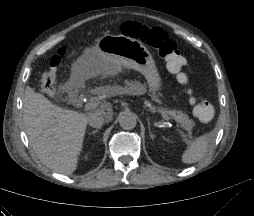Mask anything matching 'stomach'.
<instances>
[{"instance_id": "0dacf381", "label": "stomach", "mask_w": 254, "mask_h": 216, "mask_svg": "<svg viewBox=\"0 0 254 216\" xmlns=\"http://www.w3.org/2000/svg\"><path fill=\"white\" fill-rule=\"evenodd\" d=\"M119 60L122 66L141 73L147 81L153 99L160 102L163 83L150 51L139 41L107 35L98 40L76 63V72L94 74L106 60Z\"/></svg>"}]
</instances>
